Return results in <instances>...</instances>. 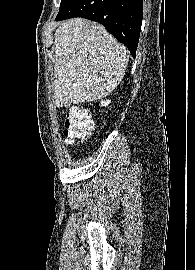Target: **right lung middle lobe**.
Instances as JSON below:
<instances>
[{"label":"right lung middle lobe","instance_id":"right-lung-middle-lobe-1","mask_svg":"<svg viewBox=\"0 0 195 270\" xmlns=\"http://www.w3.org/2000/svg\"><path fill=\"white\" fill-rule=\"evenodd\" d=\"M73 1L74 0H61L60 9H59V13L58 14L64 12L70 6V4Z\"/></svg>","mask_w":195,"mask_h":270}]
</instances>
